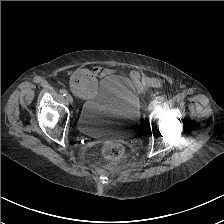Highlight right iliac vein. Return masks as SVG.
Instances as JSON below:
<instances>
[{
  "label": "right iliac vein",
  "mask_w": 224,
  "mask_h": 224,
  "mask_svg": "<svg viewBox=\"0 0 224 224\" xmlns=\"http://www.w3.org/2000/svg\"><path fill=\"white\" fill-rule=\"evenodd\" d=\"M66 100H67V102L72 103L73 102V97L70 94H67L66 95Z\"/></svg>",
  "instance_id": "63e3f726"
}]
</instances>
